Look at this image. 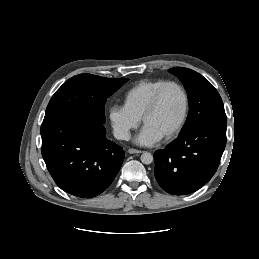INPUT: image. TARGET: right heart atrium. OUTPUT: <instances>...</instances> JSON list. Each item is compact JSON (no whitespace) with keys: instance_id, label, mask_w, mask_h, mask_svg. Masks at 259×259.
I'll return each instance as SVG.
<instances>
[{"instance_id":"d8ad5b80","label":"right heart atrium","mask_w":259,"mask_h":259,"mask_svg":"<svg viewBox=\"0 0 259 259\" xmlns=\"http://www.w3.org/2000/svg\"><path fill=\"white\" fill-rule=\"evenodd\" d=\"M108 118L114 135L120 140H127L140 122L139 118L120 105H113L109 108Z\"/></svg>"}]
</instances>
